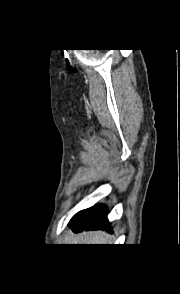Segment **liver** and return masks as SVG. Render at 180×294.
I'll use <instances>...</instances> for the list:
<instances>
[{"label":"liver","instance_id":"6515ba94","mask_svg":"<svg viewBox=\"0 0 180 294\" xmlns=\"http://www.w3.org/2000/svg\"><path fill=\"white\" fill-rule=\"evenodd\" d=\"M73 242H83L85 244H105L109 242V239L106 233L95 231L83 233L80 236H76L73 239Z\"/></svg>","mask_w":180,"mask_h":294}]
</instances>
